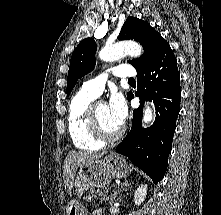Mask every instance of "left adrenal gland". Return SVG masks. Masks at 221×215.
<instances>
[{
    "label": "left adrenal gland",
    "instance_id": "obj_1",
    "mask_svg": "<svg viewBox=\"0 0 221 215\" xmlns=\"http://www.w3.org/2000/svg\"><path fill=\"white\" fill-rule=\"evenodd\" d=\"M130 185H131V183L128 182L127 180L122 182L121 187H118V189L115 190L114 194L111 196V202H113L115 200V198L118 195V193H120L122 190H124L125 188L129 187Z\"/></svg>",
    "mask_w": 221,
    "mask_h": 215
}]
</instances>
